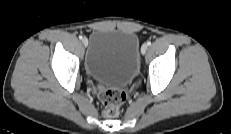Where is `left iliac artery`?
<instances>
[{
    "label": "left iliac artery",
    "mask_w": 231,
    "mask_h": 134,
    "mask_svg": "<svg viewBox=\"0 0 231 134\" xmlns=\"http://www.w3.org/2000/svg\"><path fill=\"white\" fill-rule=\"evenodd\" d=\"M148 46H150L151 45V41H147V43H146Z\"/></svg>",
    "instance_id": "obj_1"
}]
</instances>
